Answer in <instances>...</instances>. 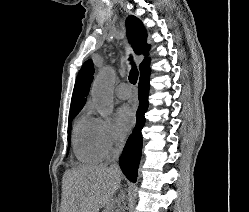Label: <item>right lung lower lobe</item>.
<instances>
[{
    "label": "right lung lower lobe",
    "mask_w": 249,
    "mask_h": 212,
    "mask_svg": "<svg viewBox=\"0 0 249 212\" xmlns=\"http://www.w3.org/2000/svg\"><path fill=\"white\" fill-rule=\"evenodd\" d=\"M149 76L150 68L148 65L140 71V80L138 85L139 108L136 113V126L133 129L132 134L129 136L119 160L123 173L132 182L136 181L138 165L141 158V130L145 124L144 114L148 108Z\"/></svg>",
    "instance_id": "obj_1"
}]
</instances>
